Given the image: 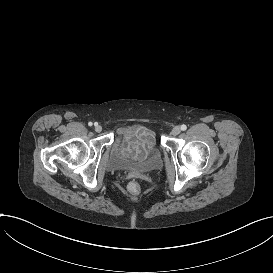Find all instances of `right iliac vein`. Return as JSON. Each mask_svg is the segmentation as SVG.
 Here are the masks:
<instances>
[{
  "mask_svg": "<svg viewBox=\"0 0 273 273\" xmlns=\"http://www.w3.org/2000/svg\"><path fill=\"white\" fill-rule=\"evenodd\" d=\"M95 131L97 133H100L102 131V126H100L99 124H95Z\"/></svg>",
  "mask_w": 273,
  "mask_h": 273,
  "instance_id": "right-iliac-vein-1",
  "label": "right iliac vein"
}]
</instances>
